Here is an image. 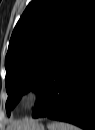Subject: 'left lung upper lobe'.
I'll return each mask as SVG.
<instances>
[{
    "instance_id": "5c2ea615",
    "label": "left lung upper lobe",
    "mask_w": 95,
    "mask_h": 130,
    "mask_svg": "<svg viewBox=\"0 0 95 130\" xmlns=\"http://www.w3.org/2000/svg\"><path fill=\"white\" fill-rule=\"evenodd\" d=\"M92 14V0L29 3L14 28L5 58L8 115L22 94L31 89L38 94L39 101L54 67Z\"/></svg>"
}]
</instances>
